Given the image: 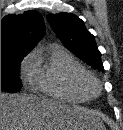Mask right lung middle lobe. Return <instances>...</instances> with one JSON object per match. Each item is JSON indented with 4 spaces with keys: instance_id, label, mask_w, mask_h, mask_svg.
<instances>
[{
    "instance_id": "dd1d6c3e",
    "label": "right lung middle lobe",
    "mask_w": 123,
    "mask_h": 130,
    "mask_svg": "<svg viewBox=\"0 0 123 130\" xmlns=\"http://www.w3.org/2000/svg\"><path fill=\"white\" fill-rule=\"evenodd\" d=\"M27 53L1 56V91L15 93L22 84L19 79L20 62Z\"/></svg>"
}]
</instances>
